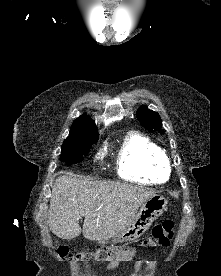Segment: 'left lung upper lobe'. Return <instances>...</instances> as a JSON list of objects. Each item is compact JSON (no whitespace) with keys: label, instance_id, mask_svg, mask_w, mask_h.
I'll list each match as a JSON object with an SVG mask.
<instances>
[{"label":"left lung upper lobe","instance_id":"1","mask_svg":"<svg viewBox=\"0 0 221 276\" xmlns=\"http://www.w3.org/2000/svg\"><path fill=\"white\" fill-rule=\"evenodd\" d=\"M137 119L143 127L150 131H158L163 133L161 130L162 121L161 117L157 112L149 110L147 107H141L136 113Z\"/></svg>","mask_w":221,"mask_h":276}]
</instances>
